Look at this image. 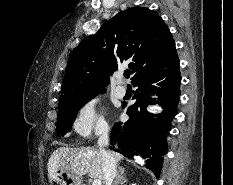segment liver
I'll list each match as a JSON object with an SVG mask.
<instances>
[{"label": "liver", "instance_id": "liver-1", "mask_svg": "<svg viewBox=\"0 0 233 185\" xmlns=\"http://www.w3.org/2000/svg\"><path fill=\"white\" fill-rule=\"evenodd\" d=\"M110 153L116 162L123 159L120 153ZM47 167L50 180L54 179L59 170L70 172L79 177L89 174L91 178L103 180L102 156L99 150L90 147H60L51 154Z\"/></svg>", "mask_w": 233, "mask_h": 185}]
</instances>
